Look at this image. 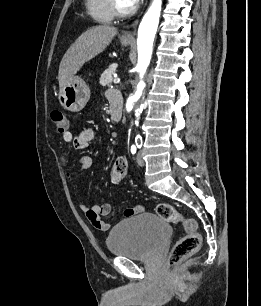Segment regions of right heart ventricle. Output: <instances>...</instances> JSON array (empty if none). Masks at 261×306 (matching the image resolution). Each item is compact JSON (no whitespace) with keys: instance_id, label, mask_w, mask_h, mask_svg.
Instances as JSON below:
<instances>
[{"instance_id":"1","label":"right heart ventricle","mask_w":261,"mask_h":306,"mask_svg":"<svg viewBox=\"0 0 261 306\" xmlns=\"http://www.w3.org/2000/svg\"><path fill=\"white\" fill-rule=\"evenodd\" d=\"M85 3L88 14L97 22L109 23L114 19L109 0H85Z\"/></svg>"}]
</instances>
